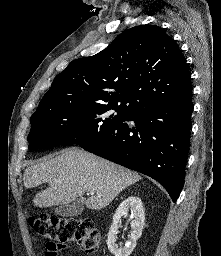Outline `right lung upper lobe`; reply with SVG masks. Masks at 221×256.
<instances>
[{
	"mask_svg": "<svg viewBox=\"0 0 221 256\" xmlns=\"http://www.w3.org/2000/svg\"><path fill=\"white\" fill-rule=\"evenodd\" d=\"M191 93L179 47L162 28L140 25L101 52L72 61L56 76L34 114L79 104H115L136 113Z\"/></svg>",
	"mask_w": 221,
	"mask_h": 256,
	"instance_id": "obj_1",
	"label": "right lung upper lobe"
}]
</instances>
